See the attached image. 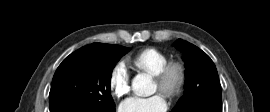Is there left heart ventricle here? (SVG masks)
Returning <instances> with one entry per match:
<instances>
[{
    "instance_id": "1",
    "label": "left heart ventricle",
    "mask_w": 270,
    "mask_h": 112,
    "mask_svg": "<svg viewBox=\"0 0 270 112\" xmlns=\"http://www.w3.org/2000/svg\"><path fill=\"white\" fill-rule=\"evenodd\" d=\"M155 90L156 91L158 90V86H157L156 82H155Z\"/></svg>"
}]
</instances>
